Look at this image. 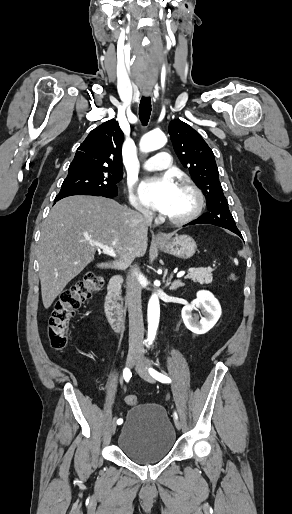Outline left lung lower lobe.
I'll use <instances>...</instances> for the list:
<instances>
[{
  "instance_id": "left-lung-lower-lobe-1",
  "label": "left lung lower lobe",
  "mask_w": 292,
  "mask_h": 514,
  "mask_svg": "<svg viewBox=\"0 0 292 514\" xmlns=\"http://www.w3.org/2000/svg\"><path fill=\"white\" fill-rule=\"evenodd\" d=\"M193 224H203V222L200 221V219L198 218V219L188 223L187 225H193ZM232 232H234L235 234H237L238 236H240L243 239V237L241 235V232L239 230L238 231H232Z\"/></svg>"
}]
</instances>
